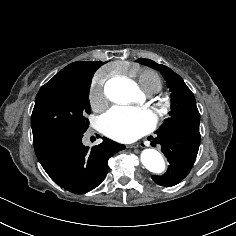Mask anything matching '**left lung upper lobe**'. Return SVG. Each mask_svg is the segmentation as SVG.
Listing matches in <instances>:
<instances>
[{
    "mask_svg": "<svg viewBox=\"0 0 236 236\" xmlns=\"http://www.w3.org/2000/svg\"><path fill=\"white\" fill-rule=\"evenodd\" d=\"M137 62L159 70L171 91L170 118L165 120L156 134L161 135L169 129L199 134L200 114L194 95L183 79L167 66L157 64L150 59L139 58Z\"/></svg>",
    "mask_w": 236,
    "mask_h": 236,
    "instance_id": "left-lung-upper-lobe-1",
    "label": "left lung upper lobe"
}]
</instances>
